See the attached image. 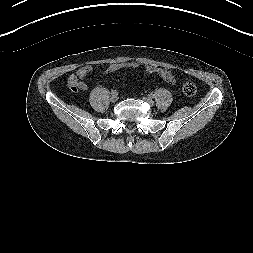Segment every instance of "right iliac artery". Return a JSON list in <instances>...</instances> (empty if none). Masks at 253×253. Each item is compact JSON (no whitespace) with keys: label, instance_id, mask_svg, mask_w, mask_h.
<instances>
[{"label":"right iliac artery","instance_id":"82829eb1","mask_svg":"<svg viewBox=\"0 0 253 253\" xmlns=\"http://www.w3.org/2000/svg\"><path fill=\"white\" fill-rule=\"evenodd\" d=\"M118 94L116 90L111 91V95Z\"/></svg>","mask_w":253,"mask_h":253}]
</instances>
